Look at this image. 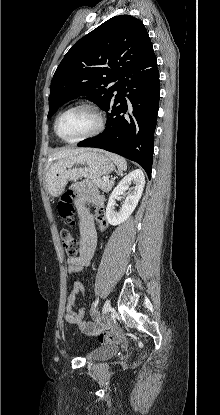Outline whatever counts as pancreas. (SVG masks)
<instances>
[{
	"label": "pancreas",
	"instance_id": "cf45deb5",
	"mask_svg": "<svg viewBox=\"0 0 220 415\" xmlns=\"http://www.w3.org/2000/svg\"><path fill=\"white\" fill-rule=\"evenodd\" d=\"M93 183L103 192H109L114 185V180L104 181V179H94Z\"/></svg>",
	"mask_w": 220,
	"mask_h": 415
}]
</instances>
